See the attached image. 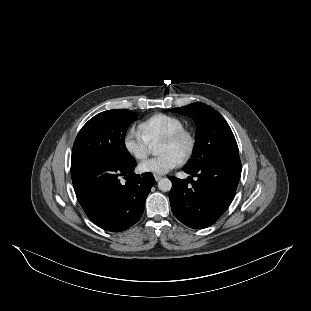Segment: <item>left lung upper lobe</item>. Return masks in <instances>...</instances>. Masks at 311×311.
Here are the masks:
<instances>
[{"mask_svg":"<svg viewBox=\"0 0 311 311\" xmlns=\"http://www.w3.org/2000/svg\"><path fill=\"white\" fill-rule=\"evenodd\" d=\"M170 111L192 117L197 127L192 157L184 168L196 169L217 160L239 158L234 134L216 110L197 102Z\"/></svg>","mask_w":311,"mask_h":311,"instance_id":"5c2ea615","label":"left lung upper lobe"}]
</instances>
